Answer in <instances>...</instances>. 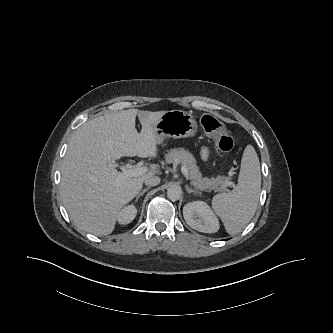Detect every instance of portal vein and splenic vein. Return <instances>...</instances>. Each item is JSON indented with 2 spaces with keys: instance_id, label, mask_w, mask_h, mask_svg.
<instances>
[{
  "instance_id": "18ae733b",
  "label": "portal vein and splenic vein",
  "mask_w": 333,
  "mask_h": 333,
  "mask_svg": "<svg viewBox=\"0 0 333 333\" xmlns=\"http://www.w3.org/2000/svg\"><path fill=\"white\" fill-rule=\"evenodd\" d=\"M112 166L118 167V164L113 163ZM122 173L119 174L118 178L123 179L126 177H137L146 173L147 168L141 166L122 165L120 166ZM181 171L186 179L189 178L188 169L185 166L181 167Z\"/></svg>"
}]
</instances>
